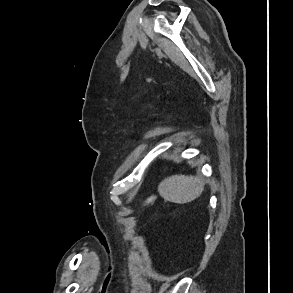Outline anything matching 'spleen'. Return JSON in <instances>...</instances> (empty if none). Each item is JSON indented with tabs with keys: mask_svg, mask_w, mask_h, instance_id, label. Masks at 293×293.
<instances>
[{
	"mask_svg": "<svg viewBox=\"0 0 293 293\" xmlns=\"http://www.w3.org/2000/svg\"><path fill=\"white\" fill-rule=\"evenodd\" d=\"M204 190L200 176L172 175L158 185V192L165 201L185 204L198 198Z\"/></svg>",
	"mask_w": 293,
	"mask_h": 293,
	"instance_id": "3e777b00",
	"label": "spleen"
}]
</instances>
